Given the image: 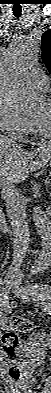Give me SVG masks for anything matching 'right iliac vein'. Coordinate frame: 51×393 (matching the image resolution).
I'll list each match as a JSON object with an SVG mask.
<instances>
[{
  "mask_svg": "<svg viewBox=\"0 0 51 393\" xmlns=\"http://www.w3.org/2000/svg\"><path fill=\"white\" fill-rule=\"evenodd\" d=\"M15 284V278L13 275H6L5 280H4V285L2 287V295H7L10 288ZM1 309H4L3 306H1Z\"/></svg>",
  "mask_w": 51,
  "mask_h": 393,
  "instance_id": "obj_1",
  "label": "right iliac vein"
}]
</instances>
